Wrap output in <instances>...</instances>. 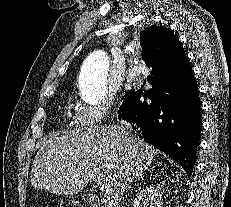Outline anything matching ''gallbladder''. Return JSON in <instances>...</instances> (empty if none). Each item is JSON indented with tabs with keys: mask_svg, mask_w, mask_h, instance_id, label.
I'll use <instances>...</instances> for the list:
<instances>
[{
	"mask_svg": "<svg viewBox=\"0 0 231 207\" xmlns=\"http://www.w3.org/2000/svg\"><path fill=\"white\" fill-rule=\"evenodd\" d=\"M81 196L83 200L91 206H96L99 203L98 198L94 194L85 193V194H82Z\"/></svg>",
	"mask_w": 231,
	"mask_h": 207,
	"instance_id": "bac80fb5",
	"label": "gallbladder"
}]
</instances>
